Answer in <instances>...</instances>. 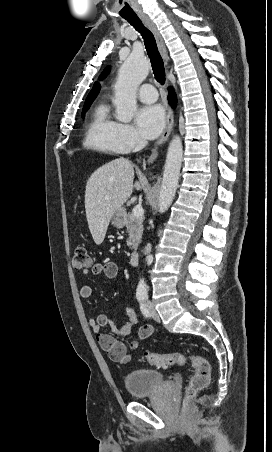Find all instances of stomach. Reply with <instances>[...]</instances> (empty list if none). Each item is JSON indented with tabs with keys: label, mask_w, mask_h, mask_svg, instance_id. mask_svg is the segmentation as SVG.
Masks as SVG:
<instances>
[{
	"label": "stomach",
	"mask_w": 272,
	"mask_h": 452,
	"mask_svg": "<svg viewBox=\"0 0 272 452\" xmlns=\"http://www.w3.org/2000/svg\"><path fill=\"white\" fill-rule=\"evenodd\" d=\"M126 222V212L124 208L117 210L111 217V223L114 227L122 228Z\"/></svg>",
	"instance_id": "1"
}]
</instances>
